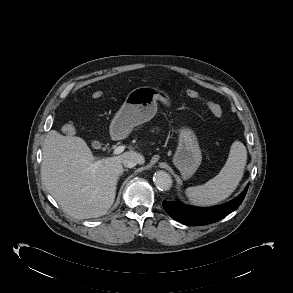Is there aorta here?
Here are the masks:
<instances>
[{"label":"aorta","instance_id":"obj_1","mask_svg":"<svg viewBox=\"0 0 293 293\" xmlns=\"http://www.w3.org/2000/svg\"><path fill=\"white\" fill-rule=\"evenodd\" d=\"M153 181L155 186L161 191H167L172 186V178L169 173L165 171H157L154 174Z\"/></svg>","mask_w":293,"mask_h":293}]
</instances>
